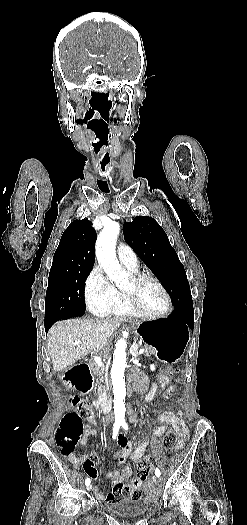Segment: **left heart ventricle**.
I'll list each match as a JSON object with an SVG mask.
<instances>
[{
	"label": "left heart ventricle",
	"instance_id": "b2bd125f",
	"mask_svg": "<svg viewBox=\"0 0 247 525\" xmlns=\"http://www.w3.org/2000/svg\"><path fill=\"white\" fill-rule=\"evenodd\" d=\"M124 291L134 293L142 304L151 311H158L165 306L166 299L162 290L150 279L135 283L132 278L122 288Z\"/></svg>",
	"mask_w": 247,
	"mask_h": 525
}]
</instances>
